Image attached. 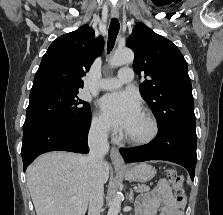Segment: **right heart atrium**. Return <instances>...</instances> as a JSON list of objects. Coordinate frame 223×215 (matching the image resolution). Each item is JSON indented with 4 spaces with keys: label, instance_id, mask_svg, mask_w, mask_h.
<instances>
[{
    "label": "right heart atrium",
    "instance_id": "right-heart-atrium-1",
    "mask_svg": "<svg viewBox=\"0 0 223 215\" xmlns=\"http://www.w3.org/2000/svg\"><path fill=\"white\" fill-rule=\"evenodd\" d=\"M91 131L99 138L106 137L111 129L105 120L99 114H95L91 122Z\"/></svg>",
    "mask_w": 223,
    "mask_h": 215
}]
</instances>
